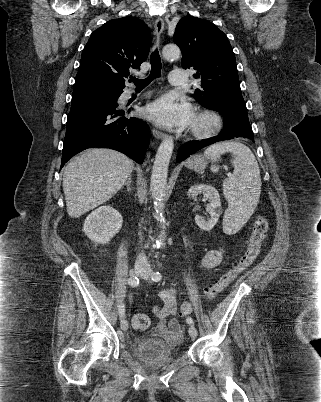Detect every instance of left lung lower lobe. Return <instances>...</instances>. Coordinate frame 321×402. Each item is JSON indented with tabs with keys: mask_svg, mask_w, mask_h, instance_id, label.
<instances>
[{
	"mask_svg": "<svg viewBox=\"0 0 321 402\" xmlns=\"http://www.w3.org/2000/svg\"><path fill=\"white\" fill-rule=\"evenodd\" d=\"M224 117V131L218 136L188 141L180 147L177 161L181 162L194 152L219 141L229 140L236 137H245L254 142L253 131L249 123L247 108L243 103H229L217 109Z\"/></svg>",
	"mask_w": 321,
	"mask_h": 402,
	"instance_id": "obj_1",
	"label": "left lung lower lobe"
}]
</instances>
